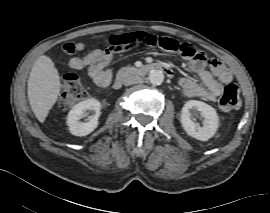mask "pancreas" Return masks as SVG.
Here are the masks:
<instances>
[{"mask_svg":"<svg viewBox=\"0 0 270 213\" xmlns=\"http://www.w3.org/2000/svg\"><path fill=\"white\" fill-rule=\"evenodd\" d=\"M127 70H134V68H122L121 70H120V74H123L125 71H127Z\"/></svg>","mask_w":270,"mask_h":213,"instance_id":"obj_1","label":"pancreas"}]
</instances>
